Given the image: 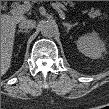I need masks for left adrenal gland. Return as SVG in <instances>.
<instances>
[{"instance_id":"obj_1","label":"left adrenal gland","mask_w":109,"mask_h":109,"mask_svg":"<svg viewBox=\"0 0 109 109\" xmlns=\"http://www.w3.org/2000/svg\"><path fill=\"white\" fill-rule=\"evenodd\" d=\"M77 24L78 23L70 24V23L63 22V25L67 28V32H69L70 29L75 27Z\"/></svg>"}]
</instances>
